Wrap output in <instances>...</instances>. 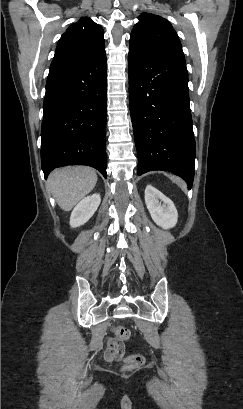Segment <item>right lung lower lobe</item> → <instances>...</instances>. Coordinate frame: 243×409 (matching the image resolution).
<instances>
[{"label": "right lung lower lobe", "instance_id": "obj_1", "mask_svg": "<svg viewBox=\"0 0 243 409\" xmlns=\"http://www.w3.org/2000/svg\"><path fill=\"white\" fill-rule=\"evenodd\" d=\"M106 87L105 49L49 71L41 129L45 178L66 165H88L106 178Z\"/></svg>", "mask_w": 243, "mask_h": 409}]
</instances>
